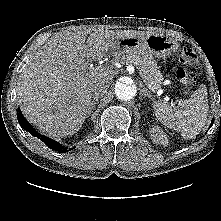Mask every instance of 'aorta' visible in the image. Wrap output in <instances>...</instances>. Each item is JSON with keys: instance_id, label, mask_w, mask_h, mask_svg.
Instances as JSON below:
<instances>
[{"instance_id": "obj_1", "label": "aorta", "mask_w": 221, "mask_h": 221, "mask_svg": "<svg viewBox=\"0 0 221 221\" xmlns=\"http://www.w3.org/2000/svg\"><path fill=\"white\" fill-rule=\"evenodd\" d=\"M114 92L119 100L127 101L136 95V87L122 81H117L114 87Z\"/></svg>"}]
</instances>
